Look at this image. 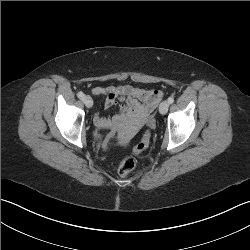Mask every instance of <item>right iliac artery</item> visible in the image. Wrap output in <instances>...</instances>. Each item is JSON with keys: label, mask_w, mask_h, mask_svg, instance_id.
Listing matches in <instances>:
<instances>
[{"label": "right iliac artery", "mask_w": 250, "mask_h": 250, "mask_svg": "<svg viewBox=\"0 0 250 250\" xmlns=\"http://www.w3.org/2000/svg\"><path fill=\"white\" fill-rule=\"evenodd\" d=\"M77 96L82 99L84 97V94L83 92H78Z\"/></svg>", "instance_id": "obj_1"}]
</instances>
